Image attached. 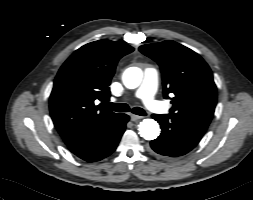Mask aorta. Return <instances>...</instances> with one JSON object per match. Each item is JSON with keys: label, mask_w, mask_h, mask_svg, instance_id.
Returning <instances> with one entry per match:
<instances>
[{"label": "aorta", "mask_w": 253, "mask_h": 200, "mask_svg": "<svg viewBox=\"0 0 253 200\" xmlns=\"http://www.w3.org/2000/svg\"><path fill=\"white\" fill-rule=\"evenodd\" d=\"M142 80V70L137 67L127 69L123 75V83L129 89L139 86ZM139 134L146 140H154L160 134L159 124L153 119H144L139 124Z\"/></svg>", "instance_id": "obj_1"}]
</instances>
